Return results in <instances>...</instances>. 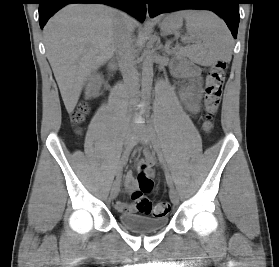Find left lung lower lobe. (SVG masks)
Masks as SVG:
<instances>
[{"label":"left lung lower lobe","instance_id":"obj_1","mask_svg":"<svg viewBox=\"0 0 279 267\" xmlns=\"http://www.w3.org/2000/svg\"><path fill=\"white\" fill-rule=\"evenodd\" d=\"M239 3V0H149L148 9L151 17L182 9L211 10L224 19L236 38L240 19Z\"/></svg>","mask_w":279,"mask_h":267}]
</instances>
